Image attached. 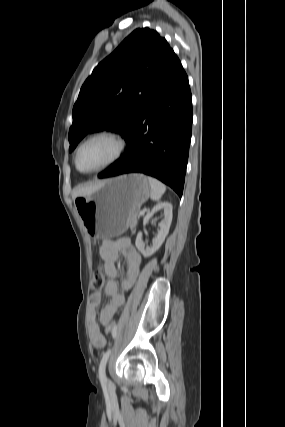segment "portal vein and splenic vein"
<instances>
[{"instance_id": "portal-vein-and-splenic-vein-1", "label": "portal vein and splenic vein", "mask_w": 285, "mask_h": 427, "mask_svg": "<svg viewBox=\"0 0 285 427\" xmlns=\"http://www.w3.org/2000/svg\"><path fill=\"white\" fill-rule=\"evenodd\" d=\"M139 214H140V215H144V214H145V211H144V210H141V211L139 212Z\"/></svg>"}]
</instances>
